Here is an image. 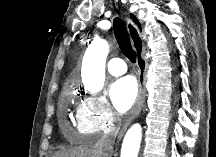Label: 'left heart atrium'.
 I'll list each match as a JSON object with an SVG mask.
<instances>
[{
    "mask_svg": "<svg viewBox=\"0 0 216 157\" xmlns=\"http://www.w3.org/2000/svg\"><path fill=\"white\" fill-rule=\"evenodd\" d=\"M137 84L134 78L126 76L113 82L109 89L110 99L120 113L127 112L137 98Z\"/></svg>",
    "mask_w": 216,
    "mask_h": 157,
    "instance_id": "obj_1",
    "label": "left heart atrium"
}]
</instances>
